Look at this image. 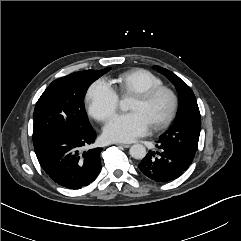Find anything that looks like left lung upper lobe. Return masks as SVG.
Returning <instances> with one entry per match:
<instances>
[{
    "label": "left lung upper lobe",
    "instance_id": "left-lung-upper-lobe-1",
    "mask_svg": "<svg viewBox=\"0 0 241 241\" xmlns=\"http://www.w3.org/2000/svg\"><path fill=\"white\" fill-rule=\"evenodd\" d=\"M176 87L180 96V110L175 123L159 137V142L177 149L193 161L201 130V117L197 101L190 87L171 71L156 66Z\"/></svg>",
    "mask_w": 241,
    "mask_h": 241
}]
</instances>
